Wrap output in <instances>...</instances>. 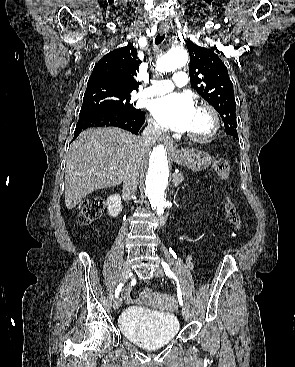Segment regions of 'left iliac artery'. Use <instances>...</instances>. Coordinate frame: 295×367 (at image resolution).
<instances>
[{
  "instance_id": "left-iliac-artery-1",
  "label": "left iliac artery",
  "mask_w": 295,
  "mask_h": 367,
  "mask_svg": "<svg viewBox=\"0 0 295 367\" xmlns=\"http://www.w3.org/2000/svg\"><path fill=\"white\" fill-rule=\"evenodd\" d=\"M161 264H162V267H163V269H164L165 274H166L168 277H171V278H173V279L176 281V283H177V296H178L179 304H180L181 306H183L182 292H181L180 285H179V281H178L177 277H176V276H175V274L171 271V269H170L169 265H168L166 262L162 261V263H161Z\"/></svg>"
}]
</instances>
